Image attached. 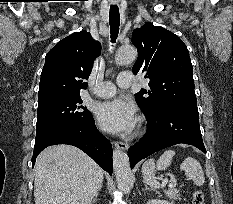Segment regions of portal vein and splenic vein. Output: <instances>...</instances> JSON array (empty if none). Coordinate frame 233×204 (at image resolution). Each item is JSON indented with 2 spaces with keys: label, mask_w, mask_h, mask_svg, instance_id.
Wrapping results in <instances>:
<instances>
[{
  "label": "portal vein and splenic vein",
  "mask_w": 233,
  "mask_h": 204,
  "mask_svg": "<svg viewBox=\"0 0 233 204\" xmlns=\"http://www.w3.org/2000/svg\"><path fill=\"white\" fill-rule=\"evenodd\" d=\"M167 183H168V179H167V178H164V179L162 180V186H165ZM173 186H174L173 183H169V187H173Z\"/></svg>",
  "instance_id": "portal-vein-and-splenic-vein-1"
}]
</instances>
